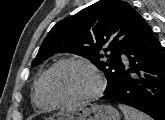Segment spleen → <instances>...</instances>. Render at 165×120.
<instances>
[{
  "label": "spleen",
  "instance_id": "spleen-1",
  "mask_svg": "<svg viewBox=\"0 0 165 120\" xmlns=\"http://www.w3.org/2000/svg\"><path fill=\"white\" fill-rule=\"evenodd\" d=\"M119 108L123 112L125 120H151L148 115L137 111L129 106L119 105Z\"/></svg>",
  "mask_w": 165,
  "mask_h": 120
}]
</instances>
